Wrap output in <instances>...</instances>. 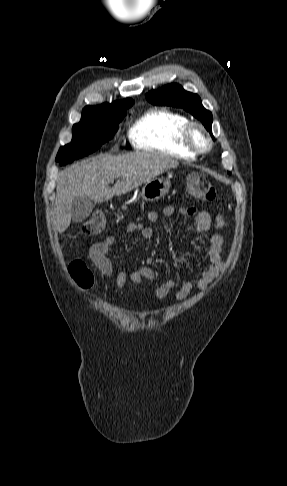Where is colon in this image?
<instances>
[{"label": "colon", "mask_w": 287, "mask_h": 486, "mask_svg": "<svg viewBox=\"0 0 287 486\" xmlns=\"http://www.w3.org/2000/svg\"><path fill=\"white\" fill-rule=\"evenodd\" d=\"M187 187L189 193L204 202H211L216 198V190L209 179L200 174L188 176ZM106 226V220L101 213H95L89 217L82 226V231L88 235L100 234ZM69 272L76 283L82 288H90L93 284V275L86 264L80 260H74L69 264Z\"/></svg>", "instance_id": "colon-1"}]
</instances>
